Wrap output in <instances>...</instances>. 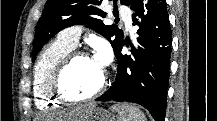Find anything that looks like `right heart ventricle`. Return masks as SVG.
I'll return each instance as SVG.
<instances>
[{
	"instance_id": "e07e8e85",
	"label": "right heart ventricle",
	"mask_w": 217,
	"mask_h": 121,
	"mask_svg": "<svg viewBox=\"0 0 217 121\" xmlns=\"http://www.w3.org/2000/svg\"><path fill=\"white\" fill-rule=\"evenodd\" d=\"M73 48L74 46L58 37L49 43L39 55L33 71V94L38 108L49 109L60 103L51 93L50 80L56 66Z\"/></svg>"
}]
</instances>
